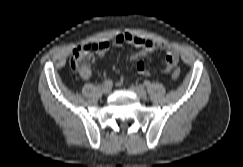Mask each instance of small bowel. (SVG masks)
Returning <instances> with one entry per match:
<instances>
[{
	"mask_svg": "<svg viewBox=\"0 0 243 167\" xmlns=\"http://www.w3.org/2000/svg\"><path fill=\"white\" fill-rule=\"evenodd\" d=\"M124 43L134 46L137 50L130 55V59L136 61V70L139 74L148 76L149 70L143 61V58L155 49H162L166 52L162 72L168 74L177 65L179 60L178 52L168 43L157 42L131 33H120L116 35L111 42L103 41L98 44V55L103 57L111 46H120ZM89 75L85 76L88 78ZM123 79L120 80V83Z\"/></svg>",
	"mask_w": 243,
	"mask_h": 167,
	"instance_id": "c3829d8e",
	"label": "small bowel"
}]
</instances>
